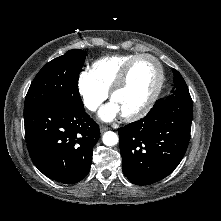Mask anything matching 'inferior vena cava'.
<instances>
[{
  "label": "inferior vena cava",
  "mask_w": 221,
  "mask_h": 221,
  "mask_svg": "<svg viewBox=\"0 0 221 221\" xmlns=\"http://www.w3.org/2000/svg\"><path fill=\"white\" fill-rule=\"evenodd\" d=\"M96 108H97V106L94 105V106L91 108V110H96Z\"/></svg>",
  "instance_id": "1"
}]
</instances>
